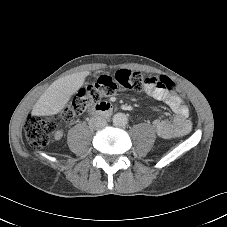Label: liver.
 Instances as JSON below:
<instances>
[{
	"label": "liver",
	"instance_id": "liver-1",
	"mask_svg": "<svg viewBox=\"0 0 227 227\" xmlns=\"http://www.w3.org/2000/svg\"><path fill=\"white\" fill-rule=\"evenodd\" d=\"M90 74L83 71L67 75L54 81L35 103L32 114L35 116H50L58 114L84 84Z\"/></svg>",
	"mask_w": 227,
	"mask_h": 227
}]
</instances>
